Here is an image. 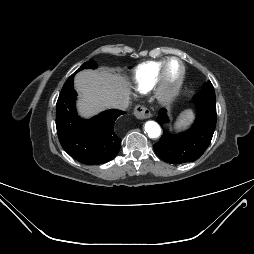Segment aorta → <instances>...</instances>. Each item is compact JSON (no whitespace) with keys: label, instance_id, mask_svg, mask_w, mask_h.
<instances>
[{"label":"aorta","instance_id":"obj_1","mask_svg":"<svg viewBox=\"0 0 254 254\" xmlns=\"http://www.w3.org/2000/svg\"><path fill=\"white\" fill-rule=\"evenodd\" d=\"M145 131L150 138H157L161 134L160 126L154 121L146 122Z\"/></svg>","mask_w":254,"mask_h":254}]
</instances>
